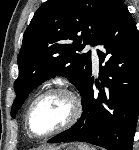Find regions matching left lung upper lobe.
I'll list each match as a JSON object with an SVG mask.
<instances>
[{"label":"left lung upper lobe","instance_id":"obj_1","mask_svg":"<svg viewBox=\"0 0 139 150\" xmlns=\"http://www.w3.org/2000/svg\"><path fill=\"white\" fill-rule=\"evenodd\" d=\"M115 1L48 0L36 11L17 59L13 117L35 87L57 74L66 76L82 92L91 75V52H77L87 44H98Z\"/></svg>","mask_w":139,"mask_h":150}]
</instances>
